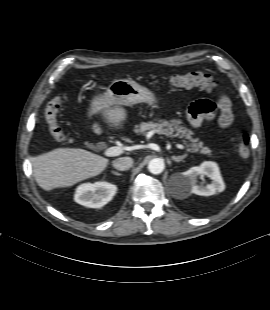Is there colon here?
<instances>
[{"instance_id":"colon-1","label":"colon","mask_w":270,"mask_h":310,"mask_svg":"<svg viewBox=\"0 0 270 310\" xmlns=\"http://www.w3.org/2000/svg\"><path fill=\"white\" fill-rule=\"evenodd\" d=\"M170 86L174 88H192L200 87L206 91H213L217 88L218 83L213 76L203 72H189L180 75H171L167 79ZM195 108L202 114H211L215 106L206 99H200L194 103ZM61 110V98L56 97L51 100L45 108V120L48 124L49 132L52 138L61 143L68 139L65 137L63 130L58 122V114ZM237 150L241 160L246 161L250 157V137L247 133H240L237 138Z\"/></svg>"}]
</instances>
